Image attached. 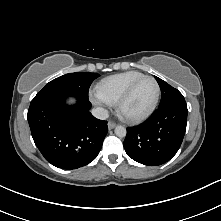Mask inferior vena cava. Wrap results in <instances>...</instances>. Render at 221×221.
<instances>
[{"instance_id": "602c4592", "label": "inferior vena cava", "mask_w": 221, "mask_h": 221, "mask_svg": "<svg viewBox=\"0 0 221 221\" xmlns=\"http://www.w3.org/2000/svg\"><path fill=\"white\" fill-rule=\"evenodd\" d=\"M92 115L101 120H105L109 117L108 110L102 107H97V108L92 109Z\"/></svg>"}]
</instances>
